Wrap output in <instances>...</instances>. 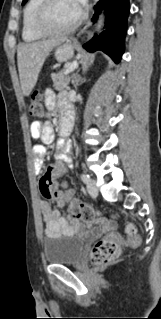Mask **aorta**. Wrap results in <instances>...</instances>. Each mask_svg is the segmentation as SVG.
Instances as JSON below:
<instances>
[{
	"label": "aorta",
	"instance_id": "762f6f07",
	"mask_svg": "<svg viewBox=\"0 0 161 319\" xmlns=\"http://www.w3.org/2000/svg\"><path fill=\"white\" fill-rule=\"evenodd\" d=\"M102 23H103V18H102V15H101L100 18H99V21H98V25H97V30L98 31L100 30V27H101Z\"/></svg>",
	"mask_w": 161,
	"mask_h": 319
}]
</instances>
